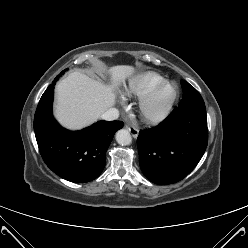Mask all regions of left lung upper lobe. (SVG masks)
I'll list each match as a JSON object with an SVG mask.
<instances>
[{
    "mask_svg": "<svg viewBox=\"0 0 248 248\" xmlns=\"http://www.w3.org/2000/svg\"><path fill=\"white\" fill-rule=\"evenodd\" d=\"M181 85L183 88V97H182V101L178 106L179 110L187 109L188 107L194 104L204 102L200 93L188 82L181 80Z\"/></svg>",
    "mask_w": 248,
    "mask_h": 248,
    "instance_id": "left-lung-upper-lobe-1",
    "label": "left lung upper lobe"
}]
</instances>
